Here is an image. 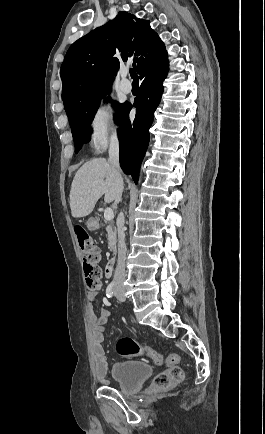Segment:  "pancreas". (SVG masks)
Returning <instances> with one entry per match:
<instances>
[{"label": "pancreas", "mask_w": 265, "mask_h": 434, "mask_svg": "<svg viewBox=\"0 0 265 434\" xmlns=\"http://www.w3.org/2000/svg\"><path fill=\"white\" fill-rule=\"evenodd\" d=\"M105 224H108V222H105ZM106 232L108 240V250H111V252H116V228H114L112 224H109V226H106Z\"/></svg>", "instance_id": "1"}]
</instances>
